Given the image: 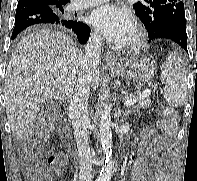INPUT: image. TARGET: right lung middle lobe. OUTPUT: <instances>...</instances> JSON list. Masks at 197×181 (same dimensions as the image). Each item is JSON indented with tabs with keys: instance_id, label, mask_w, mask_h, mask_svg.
<instances>
[{
	"instance_id": "dd1d6c3e",
	"label": "right lung middle lobe",
	"mask_w": 197,
	"mask_h": 181,
	"mask_svg": "<svg viewBox=\"0 0 197 181\" xmlns=\"http://www.w3.org/2000/svg\"><path fill=\"white\" fill-rule=\"evenodd\" d=\"M64 5H56V6H51L53 8V10L60 15L61 17H63L64 14V9H63Z\"/></svg>"
}]
</instances>
